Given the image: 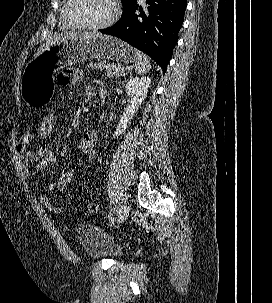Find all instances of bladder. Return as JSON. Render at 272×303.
Listing matches in <instances>:
<instances>
[{
    "label": "bladder",
    "instance_id": "1",
    "mask_svg": "<svg viewBox=\"0 0 272 303\" xmlns=\"http://www.w3.org/2000/svg\"><path fill=\"white\" fill-rule=\"evenodd\" d=\"M74 230L76 239L87 256L117 260L123 255L121 245L107 230L86 222L76 224Z\"/></svg>",
    "mask_w": 272,
    "mask_h": 303
}]
</instances>
